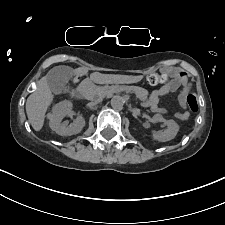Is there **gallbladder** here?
<instances>
[{"label": "gallbladder", "instance_id": "gallbladder-1", "mask_svg": "<svg viewBox=\"0 0 225 225\" xmlns=\"http://www.w3.org/2000/svg\"><path fill=\"white\" fill-rule=\"evenodd\" d=\"M72 77V68L57 66L51 69L46 78L50 90L55 94H61L68 80Z\"/></svg>", "mask_w": 225, "mask_h": 225}]
</instances>
